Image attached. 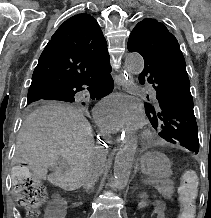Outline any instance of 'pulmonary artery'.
Wrapping results in <instances>:
<instances>
[{
  "instance_id": "pulmonary-artery-1",
  "label": "pulmonary artery",
  "mask_w": 211,
  "mask_h": 218,
  "mask_svg": "<svg viewBox=\"0 0 211 218\" xmlns=\"http://www.w3.org/2000/svg\"><path fill=\"white\" fill-rule=\"evenodd\" d=\"M147 83V80L139 81L140 85H144L145 91H147V95H158V90H156V86L154 84Z\"/></svg>"
}]
</instances>
